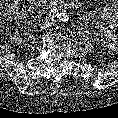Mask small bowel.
<instances>
[{
  "mask_svg": "<svg viewBox=\"0 0 118 118\" xmlns=\"http://www.w3.org/2000/svg\"><path fill=\"white\" fill-rule=\"evenodd\" d=\"M49 2H53L54 0H48ZM117 4H106L103 7L102 15L107 20V26L110 29L118 28V8Z\"/></svg>",
  "mask_w": 118,
  "mask_h": 118,
  "instance_id": "1",
  "label": "small bowel"
}]
</instances>
